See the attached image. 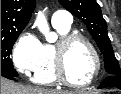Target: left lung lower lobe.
I'll use <instances>...</instances> for the list:
<instances>
[{"label":"left lung lower lobe","instance_id":"1","mask_svg":"<svg viewBox=\"0 0 121 94\" xmlns=\"http://www.w3.org/2000/svg\"><path fill=\"white\" fill-rule=\"evenodd\" d=\"M106 87H116L121 89V76L113 75L105 79L98 89L106 88Z\"/></svg>","mask_w":121,"mask_h":94}]
</instances>
